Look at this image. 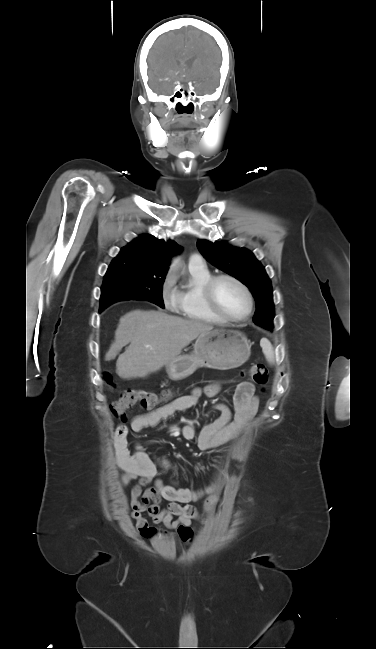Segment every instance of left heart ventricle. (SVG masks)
Segmentation results:
<instances>
[{"label": "left heart ventricle", "mask_w": 376, "mask_h": 649, "mask_svg": "<svg viewBox=\"0 0 376 649\" xmlns=\"http://www.w3.org/2000/svg\"><path fill=\"white\" fill-rule=\"evenodd\" d=\"M216 296L222 309L231 317L239 318L246 314L248 302L241 288L230 280H222L216 287Z\"/></svg>", "instance_id": "b2bd125f"}]
</instances>
